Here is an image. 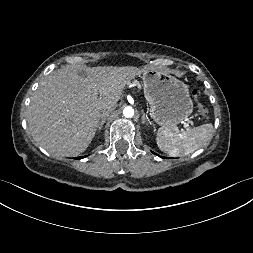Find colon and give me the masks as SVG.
Returning <instances> with one entry per match:
<instances>
[{
    "label": "colon",
    "mask_w": 253,
    "mask_h": 253,
    "mask_svg": "<svg viewBox=\"0 0 253 253\" xmlns=\"http://www.w3.org/2000/svg\"><path fill=\"white\" fill-rule=\"evenodd\" d=\"M191 95H192V97L194 98V100L197 103V108H198V111L200 112V114L203 115V116H206L207 113H208V111H207V109L203 105H201L198 102V91H197V89H193L191 91Z\"/></svg>",
    "instance_id": "colon-1"
}]
</instances>
